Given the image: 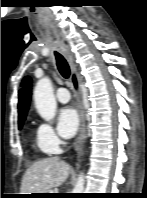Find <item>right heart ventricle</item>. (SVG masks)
Wrapping results in <instances>:
<instances>
[{
  "instance_id": "1",
  "label": "right heart ventricle",
  "mask_w": 147,
  "mask_h": 198,
  "mask_svg": "<svg viewBox=\"0 0 147 198\" xmlns=\"http://www.w3.org/2000/svg\"><path fill=\"white\" fill-rule=\"evenodd\" d=\"M37 145H38L39 149L41 150V148H40V146H39V144H38V141H37Z\"/></svg>"
}]
</instances>
